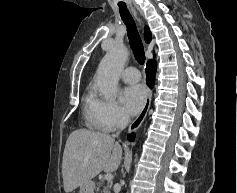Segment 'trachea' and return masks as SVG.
<instances>
[{"label": "trachea", "instance_id": "trachea-1", "mask_svg": "<svg viewBox=\"0 0 237 193\" xmlns=\"http://www.w3.org/2000/svg\"><path fill=\"white\" fill-rule=\"evenodd\" d=\"M121 18L126 25L129 44L139 64L145 63V53L143 44L136 28V24L126 6H119Z\"/></svg>", "mask_w": 237, "mask_h": 193}]
</instances>
